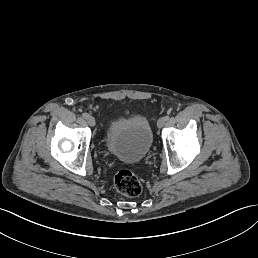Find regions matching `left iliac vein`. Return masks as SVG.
<instances>
[{"mask_svg": "<svg viewBox=\"0 0 258 258\" xmlns=\"http://www.w3.org/2000/svg\"><path fill=\"white\" fill-rule=\"evenodd\" d=\"M166 123V118L165 117H160L157 120L156 126L160 129L161 126H165Z\"/></svg>", "mask_w": 258, "mask_h": 258, "instance_id": "obj_1", "label": "left iliac vein"}]
</instances>
